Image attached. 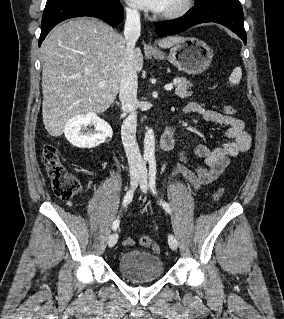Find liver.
<instances>
[{
	"mask_svg": "<svg viewBox=\"0 0 284 319\" xmlns=\"http://www.w3.org/2000/svg\"><path fill=\"white\" fill-rule=\"evenodd\" d=\"M181 37L158 42L169 48ZM42 117L45 129L61 136L75 115L102 113L116 99L124 65L128 61L125 38L94 18H77L55 27L41 46ZM133 67L140 72L143 55L134 50ZM105 86L100 87L99 83Z\"/></svg>",
	"mask_w": 284,
	"mask_h": 319,
	"instance_id": "1",
	"label": "liver"
}]
</instances>
